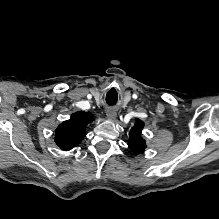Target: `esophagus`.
I'll return each mask as SVG.
<instances>
[{
    "label": "esophagus",
    "instance_id": "obj_1",
    "mask_svg": "<svg viewBox=\"0 0 219 219\" xmlns=\"http://www.w3.org/2000/svg\"><path fill=\"white\" fill-rule=\"evenodd\" d=\"M107 118L113 120L117 116V109L115 107H108L106 109Z\"/></svg>",
    "mask_w": 219,
    "mask_h": 219
}]
</instances>
